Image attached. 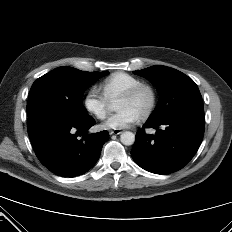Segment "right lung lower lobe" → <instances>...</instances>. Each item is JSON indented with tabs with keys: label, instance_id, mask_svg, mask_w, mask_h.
<instances>
[{
	"label": "right lung lower lobe",
	"instance_id": "obj_1",
	"mask_svg": "<svg viewBox=\"0 0 232 232\" xmlns=\"http://www.w3.org/2000/svg\"><path fill=\"white\" fill-rule=\"evenodd\" d=\"M94 124L90 116L38 112L28 116L27 128L40 162L59 176L75 177L94 166L109 138L107 131L78 138Z\"/></svg>",
	"mask_w": 232,
	"mask_h": 232
}]
</instances>
